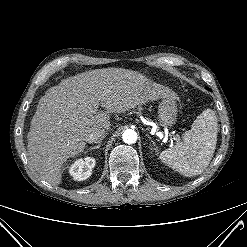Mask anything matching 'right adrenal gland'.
<instances>
[{
	"instance_id": "right-adrenal-gland-1",
	"label": "right adrenal gland",
	"mask_w": 247,
	"mask_h": 247,
	"mask_svg": "<svg viewBox=\"0 0 247 247\" xmlns=\"http://www.w3.org/2000/svg\"><path fill=\"white\" fill-rule=\"evenodd\" d=\"M100 147H101V143H99V144L96 145V146L87 148L86 152L91 151V150H94V149H99Z\"/></svg>"
}]
</instances>
